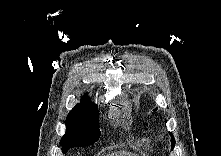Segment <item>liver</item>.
<instances>
[{
    "mask_svg": "<svg viewBox=\"0 0 221 156\" xmlns=\"http://www.w3.org/2000/svg\"><path fill=\"white\" fill-rule=\"evenodd\" d=\"M110 156H137L134 153L126 152V151H120L116 153H112Z\"/></svg>",
    "mask_w": 221,
    "mask_h": 156,
    "instance_id": "1",
    "label": "liver"
}]
</instances>
